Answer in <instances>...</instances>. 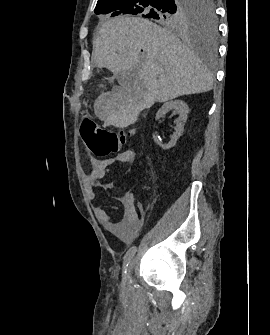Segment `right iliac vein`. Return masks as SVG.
<instances>
[{"instance_id": "63e3f726", "label": "right iliac vein", "mask_w": 270, "mask_h": 335, "mask_svg": "<svg viewBox=\"0 0 270 335\" xmlns=\"http://www.w3.org/2000/svg\"><path fill=\"white\" fill-rule=\"evenodd\" d=\"M132 269H133V260L130 261V264H129V267H128V272L126 273V276H125V278H124V283H128V280H129V278H130Z\"/></svg>"}]
</instances>
